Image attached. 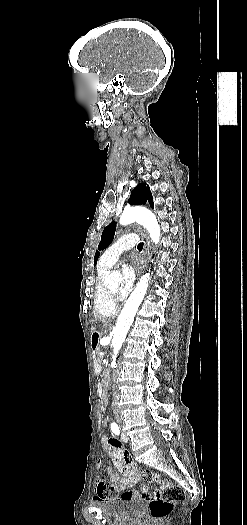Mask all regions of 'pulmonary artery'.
<instances>
[{
	"label": "pulmonary artery",
	"instance_id": "pulmonary-artery-1",
	"mask_svg": "<svg viewBox=\"0 0 247 525\" xmlns=\"http://www.w3.org/2000/svg\"><path fill=\"white\" fill-rule=\"evenodd\" d=\"M139 240V236H131V233L120 235L103 253L106 264H112L124 250L133 248Z\"/></svg>",
	"mask_w": 247,
	"mask_h": 525
}]
</instances>
